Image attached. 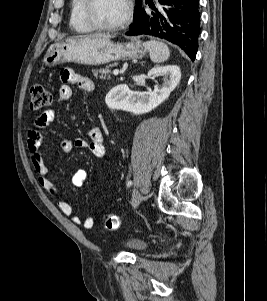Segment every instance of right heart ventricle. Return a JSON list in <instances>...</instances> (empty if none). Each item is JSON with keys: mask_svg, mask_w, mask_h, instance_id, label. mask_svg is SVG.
Here are the masks:
<instances>
[{"mask_svg": "<svg viewBox=\"0 0 267 301\" xmlns=\"http://www.w3.org/2000/svg\"><path fill=\"white\" fill-rule=\"evenodd\" d=\"M85 0H71L70 27L78 33H90L95 29L86 21L84 16Z\"/></svg>", "mask_w": 267, "mask_h": 301, "instance_id": "e07e8e85", "label": "right heart ventricle"}]
</instances>
